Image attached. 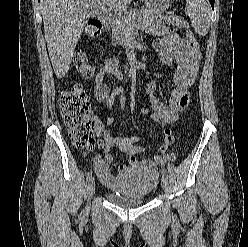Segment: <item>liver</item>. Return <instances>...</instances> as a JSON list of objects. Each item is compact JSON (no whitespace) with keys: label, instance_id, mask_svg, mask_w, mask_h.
Instances as JSON below:
<instances>
[{"label":"liver","instance_id":"6515ba94","mask_svg":"<svg viewBox=\"0 0 248 247\" xmlns=\"http://www.w3.org/2000/svg\"><path fill=\"white\" fill-rule=\"evenodd\" d=\"M132 0H43L44 33L49 57L57 78L70 68L75 46L92 13L106 6L124 11Z\"/></svg>","mask_w":248,"mask_h":247}]
</instances>
